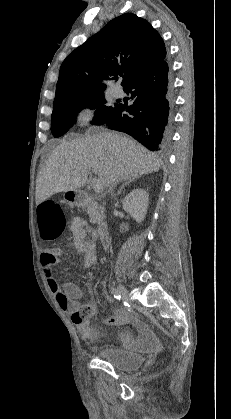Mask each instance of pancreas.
Here are the masks:
<instances>
[{
	"mask_svg": "<svg viewBox=\"0 0 231 419\" xmlns=\"http://www.w3.org/2000/svg\"><path fill=\"white\" fill-rule=\"evenodd\" d=\"M87 213L90 218V223L96 224L103 215V207L99 206L95 199H91L88 205Z\"/></svg>",
	"mask_w": 231,
	"mask_h": 419,
	"instance_id": "1",
	"label": "pancreas"
}]
</instances>
